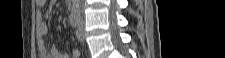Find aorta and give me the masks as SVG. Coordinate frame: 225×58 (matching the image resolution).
I'll return each mask as SVG.
<instances>
[{
  "instance_id": "762f6f07",
  "label": "aorta",
  "mask_w": 225,
  "mask_h": 58,
  "mask_svg": "<svg viewBox=\"0 0 225 58\" xmlns=\"http://www.w3.org/2000/svg\"><path fill=\"white\" fill-rule=\"evenodd\" d=\"M76 9H77V10H79V9H80V6H79V4H78V5H76Z\"/></svg>"
}]
</instances>
